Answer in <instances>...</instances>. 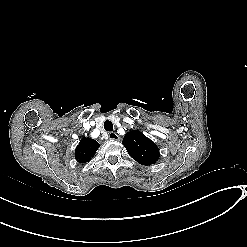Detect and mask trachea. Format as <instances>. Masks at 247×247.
<instances>
[{"label": "trachea", "instance_id": "1", "mask_svg": "<svg viewBox=\"0 0 247 247\" xmlns=\"http://www.w3.org/2000/svg\"><path fill=\"white\" fill-rule=\"evenodd\" d=\"M103 127L104 129L107 131V132H112L113 131V124L111 121H105L104 124H103Z\"/></svg>", "mask_w": 247, "mask_h": 247}]
</instances>
